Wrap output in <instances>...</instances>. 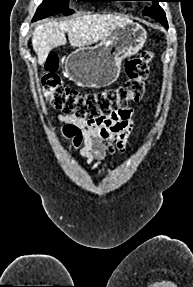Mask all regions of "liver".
I'll use <instances>...</instances> for the list:
<instances>
[{
	"instance_id": "1",
	"label": "liver",
	"mask_w": 193,
	"mask_h": 287,
	"mask_svg": "<svg viewBox=\"0 0 193 287\" xmlns=\"http://www.w3.org/2000/svg\"><path fill=\"white\" fill-rule=\"evenodd\" d=\"M126 17L92 14L66 21L39 23L32 33V46L38 56V63L44 64L50 51L66 44L65 33L73 47H85L106 38L116 27L129 23Z\"/></svg>"
}]
</instances>
